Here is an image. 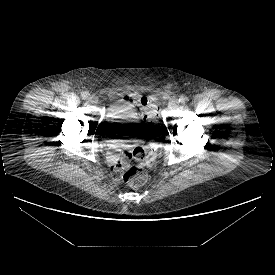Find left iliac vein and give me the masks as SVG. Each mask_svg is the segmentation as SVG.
<instances>
[{
  "instance_id": "4c4485c4",
  "label": "left iliac vein",
  "mask_w": 275,
  "mask_h": 275,
  "mask_svg": "<svg viewBox=\"0 0 275 275\" xmlns=\"http://www.w3.org/2000/svg\"><path fill=\"white\" fill-rule=\"evenodd\" d=\"M178 106H179V101H178V99L172 98V99L169 101V103H168V110H169V111H172V110L178 108Z\"/></svg>"
}]
</instances>
